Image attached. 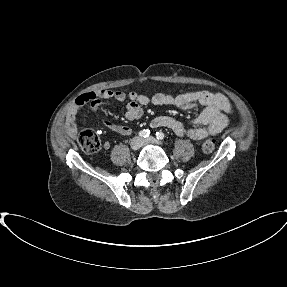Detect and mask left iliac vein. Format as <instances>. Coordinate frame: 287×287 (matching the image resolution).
<instances>
[{
	"instance_id": "1",
	"label": "left iliac vein",
	"mask_w": 287,
	"mask_h": 287,
	"mask_svg": "<svg viewBox=\"0 0 287 287\" xmlns=\"http://www.w3.org/2000/svg\"><path fill=\"white\" fill-rule=\"evenodd\" d=\"M142 143H143L144 145H146V144H158V145H161V144H162V142H160L159 140H157V139L154 138V137H149V138H147V139H143V140H142Z\"/></svg>"
}]
</instances>
